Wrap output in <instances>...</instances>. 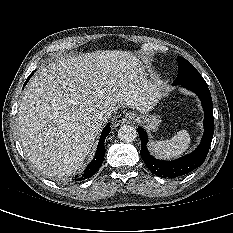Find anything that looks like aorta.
<instances>
[{"label": "aorta", "instance_id": "obj_1", "mask_svg": "<svg viewBox=\"0 0 233 233\" xmlns=\"http://www.w3.org/2000/svg\"><path fill=\"white\" fill-rule=\"evenodd\" d=\"M118 138L127 143L133 142L137 138V130L130 125H123L118 129Z\"/></svg>", "mask_w": 233, "mask_h": 233}]
</instances>
